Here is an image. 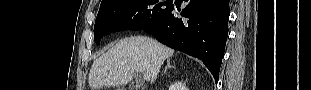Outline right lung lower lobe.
Listing matches in <instances>:
<instances>
[{"instance_id":"obj_1","label":"right lung lower lobe","mask_w":311,"mask_h":90,"mask_svg":"<svg viewBox=\"0 0 311 90\" xmlns=\"http://www.w3.org/2000/svg\"><path fill=\"white\" fill-rule=\"evenodd\" d=\"M176 17L174 5L158 22L143 28L171 48L198 57L216 82L228 36L229 0H185Z\"/></svg>"}]
</instances>
